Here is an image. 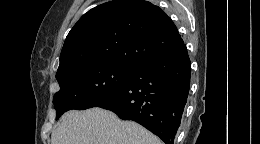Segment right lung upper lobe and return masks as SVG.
<instances>
[{"label": "right lung upper lobe", "instance_id": "right-lung-upper-lobe-1", "mask_svg": "<svg viewBox=\"0 0 260 144\" xmlns=\"http://www.w3.org/2000/svg\"><path fill=\"white\" fill-rule=\"evenodd\" d=\"M162 9L144 0H114L84 14L70 30L56 76L104 64L133 68L183 44Z\"/></svg>", "mask_w": 260, "mask_h": 144}]
</instances>
